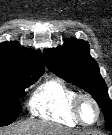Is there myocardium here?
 Listing matches in <instances>:
<instances>
[{"mask_svg":"<svg viewBox=\"0 0 112 135\" xmlns=\"http://www.w3.org/2000/svg\"><path fill=\"white\" fill-rule=\"evenodd\" d=\"M83 100L90 101L96 110V118L91 123L86 122L82 117L81 103ZM72 111H73V115L76 118V120L79 122L80 125H83V126L95 125L101 116V108H100L97 100L91 94H89L87 92L76 93V95L74 96V98L72 100Z\"/></svg>","mask_w":112,"mask_h":135,"instance_id":"myocardium-1","label":"myocardium"}]
</instances>
